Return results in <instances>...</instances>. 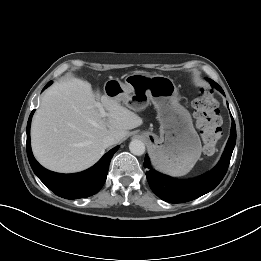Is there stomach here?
<instances>
[{
  "instance_id": "0dacf381",
  "label": "stomach",
  "mask_w": 261,
  "mask_h": 261,
  "mask_svg": "<svg viewBox=\"0 0 261 261\" xmlns=\"http://www.w3.org/2000/svg\"><path fill=\"white\" fill-rule=\"evenodd\" d=\"M109 98L132 110L144 109L150 102L157 111L160 136L144 132L154 165L174 176L187 174L201 156L202 146L189 111L179 103L173 80L164 75L134 73L122 83L110 79L104 84Z\"/></svg>"
}]
</instances>
